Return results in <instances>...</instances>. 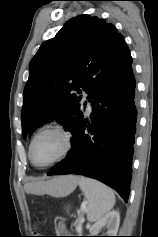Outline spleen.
<instances>
[{"label":"spleen","instance_id":"3e777b00","mask_svg":"<svg viewBox=\"0 0 158 237\" xmlns=\"http://www.w3.org/2000/svg\"><path fill=\"white\" fill-rule=\"evenodd\" d=\"M88 205L86 208L87 220L95 222L104 217L115 204V195L105 184L87 177H80L78 182Z\"/></svg>","mask_w":158,"mask_h":237}]
</instances>
